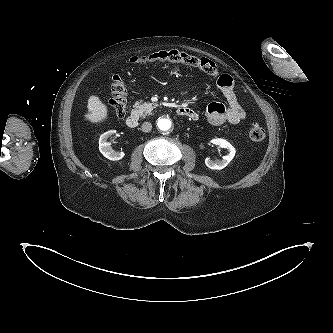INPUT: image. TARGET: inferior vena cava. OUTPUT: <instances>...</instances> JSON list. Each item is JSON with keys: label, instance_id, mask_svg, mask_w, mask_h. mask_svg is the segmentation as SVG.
<instances>
[{"label": "inferior vena cava", "instance_id": "602c4592", "mask_svg": "<svg viewBox=\"0 0 333 333\" xmlns=\"http://www.w3.org/2000/svg\"><path fill=\"white\" fill-rule=\"evenodd\" d=\"M152 129V124L150 122H144L142 124V131L143 132H150Z\"/></svg>", "mask_w": 333, "mask_h": 333}]
</instances>
